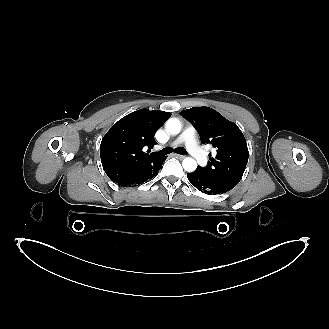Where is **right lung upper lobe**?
<instances>
[{
  "instance_id": "right-lung-upper-lobe-1",
  "label": "right lung upper lobe",
  "mask_w": 329,
  "mask_h": 329,
  "mask_svg": "<svg viewBox=\"0 0 329 329\" xmlns=\"http://www.w3.org/2000/svg\"><path fill=\"white\" fill-rule=\"evenodd\" d=\"M170 115L160 110L140 109L120 119L106 133L100 156L103 169L113 182L128 181L162 158L145 153L143 147L152 148L156 144L154 135Z\"/></svg>"
}]
</instances>
